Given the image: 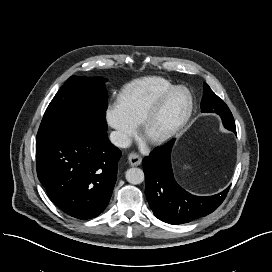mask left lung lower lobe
<instances>
[{"label": "left lung lower lobe", "mask_w": 272, "mask_h": 272, "mask_svg": "<svg viewBox=\"0 0 272 272\" xmlns=\"http://www.w3.org/2000/svg\"><path fill=\"white\" fill-rule=\"evenodd\" d=\"M223 125L236 133L232 113L219 114ZM174 140L151 152L143 159L145 173V195L154 215L169 224H183L204 217L216 210L224 201L229 188L212 196H195L175 181L172 172L170 153Z\"/></svg>", "instance_id": "left-lung-lower-lobe-1"}]
</instances>
